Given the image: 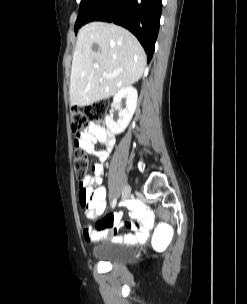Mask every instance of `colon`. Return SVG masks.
Wrapping results in <instances>:
<instances>
[{
    "label": "colon",
    "mask_w": 247,
    "mask_h": 304,
    "mask_svg": "<svg viewBox=\"0 0 247 304\" xmlns=\"http://www.w3.org/2000/svg\"><path fill=\"white\" fill-rule=\"evenodd\" d=\"M108 108L107 101H98L84 109H74L71 113V127L75 135L74 169L79 180L81 200L84 199L82 185L87 176L89 160L85 151L80 147L78 138L92 122L103 121L107 115ZM169 240H174V233L170 229L169 221L159 220L157 229L153 231V237H150V244L153 246L154 253H163L164 248L169 246Z\"/></svg>",
    "instance_id": "1"
}]
</instances>
